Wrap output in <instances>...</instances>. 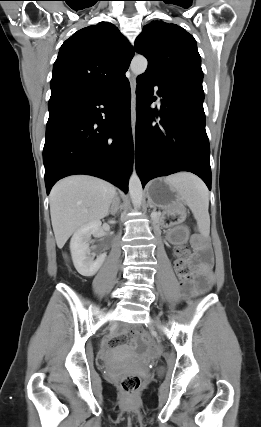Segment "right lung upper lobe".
Segmentation results:
<instances>
[{"mask_svg":"<svg viewBox=\"0 0 261 427\" xmlns=\"http://www.w3.org/2000/svg\"><path fill=\"white\" fill-rule=\"evenodd\" d=\"M134 50L108 22L74 33L59 50L51 79L49 110L88 100L121 83Z\"/></svg>","mask_w":261,"mask_h":427,"instance_id":"cb5924a9","label":"right lung upper lobe"}]
</instances>
